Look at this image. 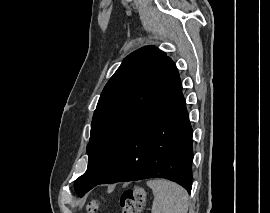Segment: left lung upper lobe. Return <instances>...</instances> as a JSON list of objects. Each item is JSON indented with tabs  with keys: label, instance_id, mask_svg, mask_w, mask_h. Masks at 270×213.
Segmentation results:
<instances>
[{
	"label": "left lung upper lobe",
	"instance_id": "1",
	"mask_svg": "<svg viewBox=\"0 0 270 213\" xmlns=\"http://www.w3.org/2000/svg\"><path fill=\"white\" fill-rule=\"evenodd\" d=\"M179 82L172 59L153 46L123 60L104 87L93 115L88 167L74 183L79 196L100 182L139 125Z\"/></svg>",
	"mask_w": 270,
	"mask_h": 213
}]
</instances>
